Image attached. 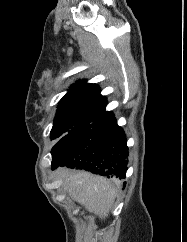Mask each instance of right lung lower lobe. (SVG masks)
<instances>
[{
	"label": "right lung lower lobe",
	"mask_w": 187,
	"mask_h": 242,
	"mask_svg": "<svg viewBox=\"0 0 187 242\" xmlns=\"http://www.w3.org/2000/svg\"><path fill=\"white\" fill-rule=\"evenodd\" d=\"M51 154L52 169L67 166L107 177H126V136L111 111H105L90 124L64 135Z\"/></svg>",
	"instance_id": "1"
}]
</instances>
